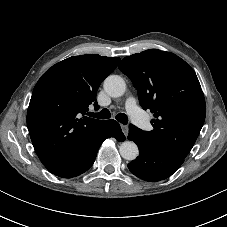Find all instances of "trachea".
I'll use <instances>...</instances> for the list:
<instances>
[{"instance_id":"trachea-1","label":"trachea","mask_w":227,"mask_h":227,"mask_svg":"<svg viewBox=\"0 0 227 227\" xmlns=\"http://www.w3.org/2000/svg\"><path fill=\"white\" fill-rule=\"evenodd\" d=\"M90 116L95 117L97 119H109L111 114H110V111L108 109H103L99 113L91 112ZM116 120L119 121L122 124H127L128 117L124 113H119V114L116 115Z\"/></svg>"}]
</instances>
